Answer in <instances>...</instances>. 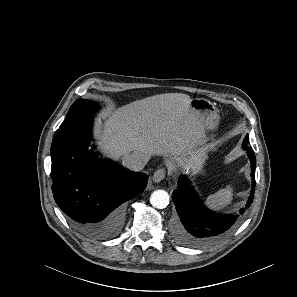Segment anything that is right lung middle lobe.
Instances as JSON below:
<instances>
[{"label": "right lung middle lobe", "mask_w": 297, "mask_h": 297, "mask_svg": "<svg viewBox=\"0 0 297 297\" xmlns=\"http://www.w3.org/2000/svg\"><path fill=\"white\" fill-rule=\"evenodd\" d=\"M99 104L85 99H78L69 109L65 120L60 127L67 125L72 121H78L84 117L91 116L97 109Z\"/></svg>", "instance_id": "1"}]
</instances>
